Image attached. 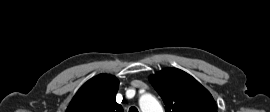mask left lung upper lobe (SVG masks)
Returning <instances> with one entry per match:
<instances>
[{
	"mask_svg": "<svg viewBox=\"0 0 270 112\" xmlns=\"http://www.w3.org/2000/svg\"><path fill=\"white\" fill-rule=\"evenodd\" d=\"M150 81L163 99L166 112H217L209 91L182 70L166 68L152 75Z\"/></svg>",
	"mask_w": 270,
	"mask_h": 112,
	"instance_id": "5c2ea615",
	"label": "left lung upper lobe"
}]
</instances>
